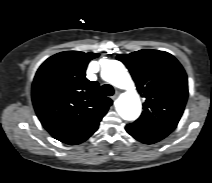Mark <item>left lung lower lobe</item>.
Listing matches in <instances>:
<instances>
[{
  "instance_id": "0a47b994",
  "label": "left lung lower lobe",
  "mask_w": 212,
  "mask_h": 183,
  "mask_svg": "<svg viewBox=\"0 0 212 183\" xmlns=\"http://www.w3.org/2000/svg\"><path fill=\"white\" fill-rule=\"evenodd\" d=\"M126 131L138 141L145 144H152L165 138L169 133L149 129L136 124H129L125 127Z\"/></svg>"
}]
</instances>
